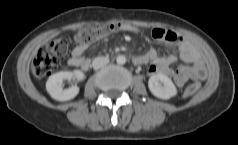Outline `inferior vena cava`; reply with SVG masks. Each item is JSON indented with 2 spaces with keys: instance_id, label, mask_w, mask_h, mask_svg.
I'll use <instances>...</instances> for the list:
<instances>
[{
  "instance_id": "inferior-vena-cava-1",
  "label": "inferior vena cava",
  "mask_w": 238,
  "mask_h": 145,
  "mask_svg": "<svg viewBox=\"0 0 238 145\" xmlns=\"http://www.w3.org/2000/svg\"><path fill=\"white\" fill-rule=\"evenodd\" d=\"M109 63V58L107 57H96L92 61V66L95 70H98Z\"/></svg>"
}]
</instances>
